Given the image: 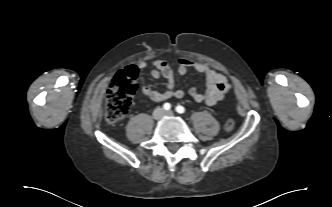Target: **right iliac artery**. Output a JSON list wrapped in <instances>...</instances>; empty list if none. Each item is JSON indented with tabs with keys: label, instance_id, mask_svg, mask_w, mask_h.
<instances>
[{
	"label": "right iliac artery",
	"instance_id": "1",
	"mask_svg": "<svg viewBox=\"0 0 332 207\" xmlns=\"http://www.w3.org/2000/svg\"><path fill=\"white\" fill-rule=\"evenodd\" d=\"M163 108L165 109V110H170L171 109V105L169 104V103H165L164 105H163Z\"/></svg>",
	"mask_w": 332,
	"mask_h": 207
}]
</instances>
